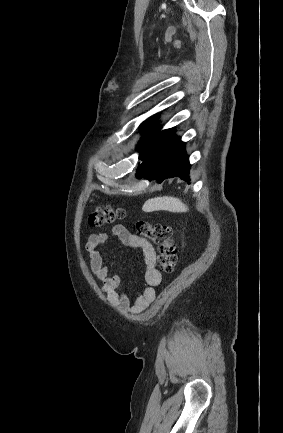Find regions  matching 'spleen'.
I'll return each mask as SVG.
<instances>
[{"label": "spleen", "mask_w": 283, "mask_h": 433, "mask_svg": "<svg viewBox=\"0 0 283 433\" xmlns=\"http://www.w3.org/2000/svg\"><path fill=\"white\" fill-rule=\"evenodd\" d=\"M145 212H152V210H170V212H187L189 210L187 204L181 202L175 196H156V198H149L142 206Z\"/></svg>", "instance_id": "spleen-1"}]
</instances>
